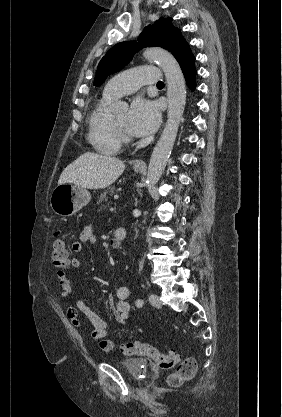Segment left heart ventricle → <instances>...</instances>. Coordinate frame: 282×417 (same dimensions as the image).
I'll use <instances>...</instances> for the list:
<instances>
[{"label": "left heart ventricle", "mask_w": 282, "mask_h": 417, "mask_svg": "<svg viewBox=\"0 0 282 417\" xmlns=\"http://www.w3.org/2000/svg\"><path fill=\"white\" fill-rule=\"evenodd\" d=\"M113 116L117 125L127 132V129H126L127 111L118 112L114 114Z\"/></svg>", "instance_id": "left-heart-ventricle-1"}]
</instances>
